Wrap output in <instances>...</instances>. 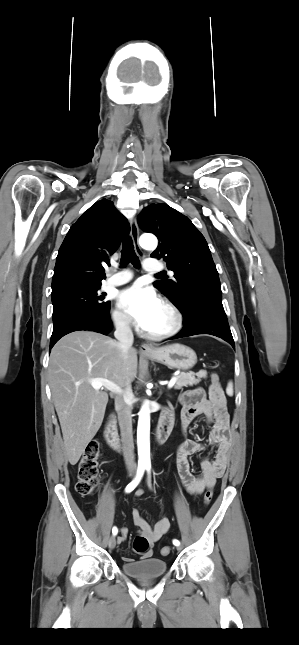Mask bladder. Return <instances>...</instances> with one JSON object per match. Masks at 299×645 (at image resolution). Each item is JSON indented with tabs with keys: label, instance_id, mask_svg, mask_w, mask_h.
<instances>
[{
	"label": "bladder",
	"instance_id": "bladder-1",
	"mask_svg": "<svg viewBox=\"0 0 299 645\" xmlns=\"http://www.w3.org/2000/svg\"><path fill=\"white\" fill-rule=\"evenodd\" d=\"M121 570L127 576L138 579L160 577L167 572L168 564L161 558L150 557L137 561L123 562Z\"/></svg>",
	"mask_w": 299,
	"mask_h": 645
}]
</instances>
